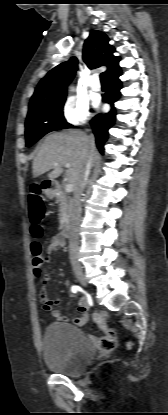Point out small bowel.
I'll list each match as a JSON object with an SVG mask.
<instances>
[{"instance_id": "c3829d8e", "label": "small bowel", "mask_w": 168, "mask_h": 415, "mask_svg": "<svg viewBox=\"0 0 168 415\" xmlns=\"http://www.w3.org/2000/svg\"><path fill=\"white\" fill-rule=\"evenodd\" d=\"M65 244L64 238L61 235H55L51 238L49 244L47 245L45 252L47 257H49L54 251L61 249ZM42 265V264H41ZM64 288H67V283H64ZM41 302L42 307L45 311L50 312L51 315L58 321L67 322L68 319L62 314L60 310L54 309V306L59 304V299L50 300L47 298L45 291L41 292ZM77 310L79 315L74 317L71 320V323L76 326H83L88 320V303L85 298L79 300L77 305Z\"/></svg>"}]
</instances>
